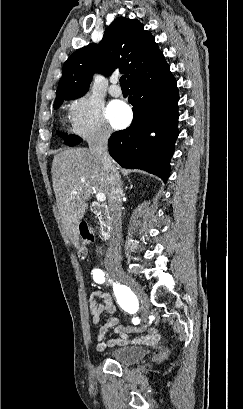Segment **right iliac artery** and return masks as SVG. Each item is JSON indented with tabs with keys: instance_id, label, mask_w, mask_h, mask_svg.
I'll return each mask as SVG.
<instances>
[{
	"instance_id": "82829eb1",
	"label": "right iliac artery",
	"mask_w": 243,
	"mask_h": 409,
	"mask_svg": "<svg viewBox=\"0 0 243 409\" xmlns=\"http://www.w3.org/2000/svg\"><path fill=\"white\" fill-rule=\"evenodd\" d=\"M92 275L94 281L97 283H103L106 279L105 273L100 269H94ZM109 282H112V280L109 279ZM113 289L118 303L123 306L129 313H134L138 305V301L135 298V295H133V293L130 291V289L115 282L113 283ZM132 322L134 324H139L140 319L138 317H135Z\"/></svg>"
}]
</instances>
